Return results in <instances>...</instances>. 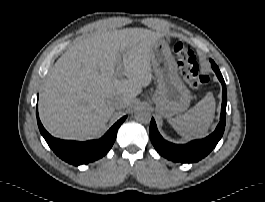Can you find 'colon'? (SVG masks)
Returning <instances> with one entry per match:
<instances>
[{"label": "colon", "instance_id": "obj_1", "mask_svg": "<svg viewBox=\"0 0 265 202\" xmlns=\"http://www.w3.org/2000/svg\"><path fill=\"white\" fill-rule=\"evenodd\" d=\"M172 48L185 82L193 88L204 84L207 81V75L200 72L193 49L180 41H174Z\"/></svg>", "mask_w": 265, "mask_h": 202}]
</instances>
